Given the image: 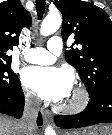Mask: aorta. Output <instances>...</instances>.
Wrapping results in <instances>:
<instances>
[{
    "instance_id": "obj_1",
    "label": "aorta",
    "mask_w": 112,
    "mask_h": 135,
    "mask_svg": "<svg viewBox=\"0 0 112 135\" xmlns=\"http://www.w3.org/2000/svg\"><path fill=\"white\" fill-rule=\"evenodd\" d=\"M62 24V17L60 13H49L43 20L40 28V33L43 36H48L55 33ZM44 135H56L52 126L45 129Z\"/></svg>"
}]
</instances>
